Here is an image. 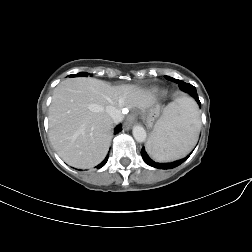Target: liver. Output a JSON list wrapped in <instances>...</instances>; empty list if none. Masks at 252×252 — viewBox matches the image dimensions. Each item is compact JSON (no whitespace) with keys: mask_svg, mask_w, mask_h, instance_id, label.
<instances>
[{"mask_svg":"<svg viewBox=\"0 0 252 252\" xmlns=\"http://www.w3.org/2000/svg\"><path fill=\"white\" fill-rule=\"evenodd\" d=\"M153 104L150 93L133 85L111 86L95 78L66 79L54 89L49 107L50 141L68 165L94 167L105 158L112 138L113 120L106 107L144 110Z\"/></svg>","mask_w":252,"mask_h":252,"instance_id":"1","label":"liver"}]
</instances>
